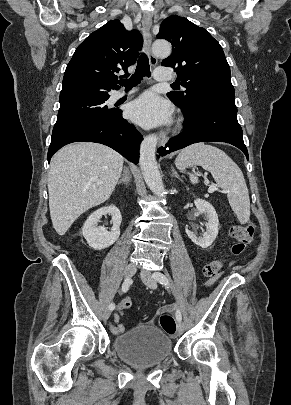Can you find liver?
Returning <instances> with one entry per match:
<instances>
[{
    "label": "liver",
    "instance_id": "liver-1",
    "mask_svg": "<svg viewBox=\"0 0 291 405\" xmlns=\"http://www.w3.org/2000/svg\"><path fill=\"white\" fill-rule=\"evenodd\" d=\"M124 158L98 143L78 142L60 149L48 173L53 228L64 235L88 209L109 199L121 175Z\"/></svg>",
    "mask_w": 291,
    "mask_h": 405
}]
</instances>
